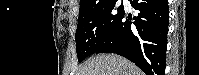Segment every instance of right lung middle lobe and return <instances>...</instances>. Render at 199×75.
I'll list each match as a JSON object with an SVG mask.
<instances>
[{"label": "right lung middle lobe", "mask_w": 199, "mask_h": 75, "mask_svg": "<svg viewBox=\"0 0 199 75\" xmlns=\"http://www.w3.org/2000/svg\"><path fill=\"white\" fill-rule=\"evenodd\" d=\"M124 14L117 0H109L88 11L79 13L75 35L78 61L82 62L107 40Z\"/></svg>", "instance_id": "obj_1"}]
</instances>
